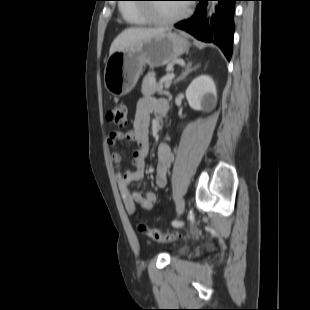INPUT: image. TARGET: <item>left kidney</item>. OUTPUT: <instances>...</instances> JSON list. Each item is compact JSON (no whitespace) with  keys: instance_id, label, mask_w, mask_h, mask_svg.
Masks as SVG:
<instances>
[{"instance_id":"1","label":"left kidney","mask_w":310,"mask_h":310,"mask_svg":"<svg viewBox=\"0 0 310 310\" xmlns=\"http://www.w3.org/2000/svg\"><path fill=\"white\" fill-rule=\"evenodd\" d=\"M186 98L194 110L213 108L217 101L216 85L213 79L207 75L195 78L186 90Z\"/></svg>"}]
</instances>
